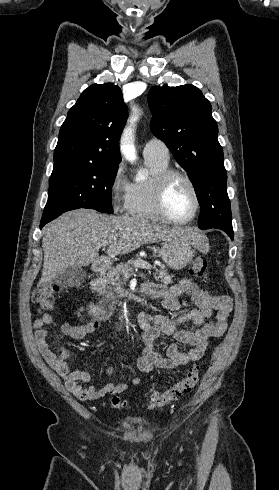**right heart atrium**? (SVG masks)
Here are the masks:
<instances>
[{
    "label": "right heart atrium",
    "mask_w": 279,
    "mask_h": 490,
    "mask_svg": "<svg viewBox=\"0 0 279 490\" xmlns=\"http://www.w3.org/2000/svg\"><path fill=\"white\" fill-rule=\"evenodd\" d=\"M132 189L133 184L128 179L123 164H118L109 185L110 203L115 213L124 214L127 212Z\"/></svg>",
    "instance_id": "1"
}]
</instances>
